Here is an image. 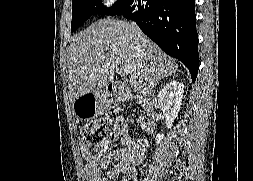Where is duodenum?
<instances>
[{
    "label": "duodenum",
    "instance_id": "1",
    "mask_svg": "<svg viewBox=\"0 0 253 181\" xmlns=\"http://www.w3.org/2000/svg\"><path fill=\"white\" fill-rule=\"evenodd\" d=\"M107 96L112 102H120L126 99V90L123 85H109L107 87ZM143 101L146 104V111L143 118V130L146 133H152L156 127V116L153 112V100L148 95H144Z\"/></svg>",
    "mask_w": 253,
    "mask_h": 181
}]
</instances>
